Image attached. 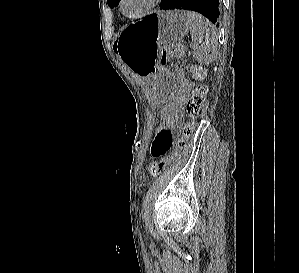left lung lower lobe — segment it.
Segmentation results:
<instances>
[{"label":"left lung lower lobe","instance_id":"obj_1","mask_svg":"<svg viewBox=\"0 0 299 273\" xmlns=\"http://www.w3.org/2000/svg\"><path fill=\"white\" fill-rule=\"evenodd\" d=\"M160 9H183L201 13L212 23H216L220 15L219 0H163Z\"/></svg>","mask_w":299,"mask_h":273}]
</instances>
